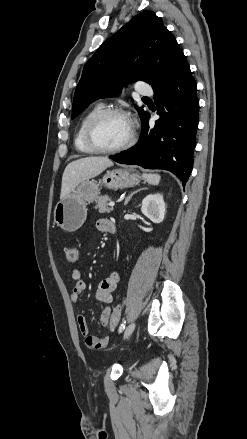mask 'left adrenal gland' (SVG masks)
Returning a JSON list of instances; mask_svg holds the SVG:
<instances>
[{"mask_svg":"<svg viewBox=\"0 0 247 439\" xmlns=\"http://www.w3.org/2000/svg\"><path fill=\"white\" fill-rule=\"evenodd\" d=\"M146 189H147V188H140V189H138V190L132 192L131 194H129V196L125 199L124 205H127V204H128V202L131 200V198H132V196H133L134 194H136L137 192H139V191H141V190H146Z\"/></svg>","mask_w":247,"mask_h":439,"instance_id":"a2214340","label":"left adrenal gland"}]
</instances>
